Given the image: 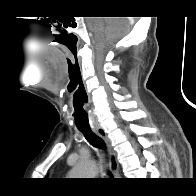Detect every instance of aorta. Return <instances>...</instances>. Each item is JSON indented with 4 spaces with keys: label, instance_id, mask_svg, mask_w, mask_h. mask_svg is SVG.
<instances>
[{
    "label": "aorta",
    "instance_id": "1",
    "mask_svg": "<svg viewBox=\"0 0 196 196\" xmlns=\"http://www.w3.org/2000/svg\"><path fill=\"white\" fill-rule=\"evenodd\" d=\"M98 166L91 160H81L70 172L71 178H89L96 175Z\"/></svg>",
    "mask_w": 196,
    "mask_h": 196
}]
</instances>
